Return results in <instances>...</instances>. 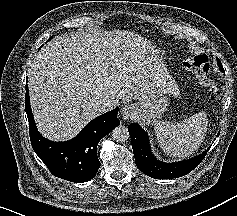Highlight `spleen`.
<instances>
[{
  "instance_id": "3e777b00",
  "label": "spleen",
  "mask_w": 237,
  "mask_h": 216,
  "mask_svg": "<svg viewBox=\"0 0 237 216\" xmlns=\"http://www.w3.org/2000/svg\"><path fill=\"white\" fill-rule=\"evenodd\" d=\"M154 130L160 148L167 155L186 158L204 141L207 120L204 115L195 114L182 122L157 121Z\"/></svg>"
}]
</instances>
